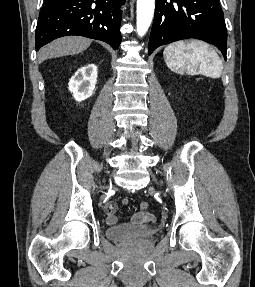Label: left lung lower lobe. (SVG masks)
<instances>
[{
	"label": "left lung lower lobe",
	"mask_w": 255,
	"mask_h": 287,
	"mask_svg": "<svg viewBox=\"0 0 255 287\" xmlns=\"http://www.w3.org/2000/svg\"><path fill=\"white\" fill-rule=\"evenodd\" d=\"M187 38L215 45L226 60L227 29L218 0H156L148 54L161 45Z\"/></svg>",
	"instance_id": "left-lung-lower-lobe-1"
}]
</instances>
